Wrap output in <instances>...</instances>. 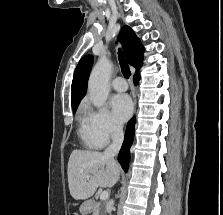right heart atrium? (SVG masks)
<instances>
[{
    "mask_svg": "<svg viewBox=\"0 0 223 215\" xmlns=\"http://www.w3.org/2000/svg\"><path fill=\"white\" fill-rule=\"evenodd\" d=\"M84 122L91 134L103 145L122 132L121 126L106 109L93 110L86 107Z\"/></svg>",
    "mask_w": 223,
    "mask_h": 215,
    "instance_id": "d8ad5b80",
    "label": "right heart atrium"
}]
</instances>
